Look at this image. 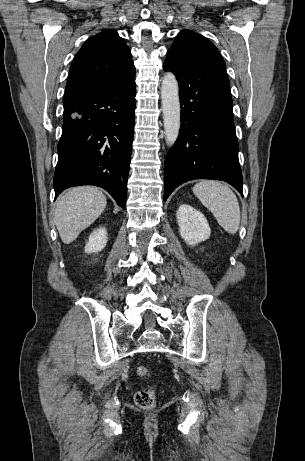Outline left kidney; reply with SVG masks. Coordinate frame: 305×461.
Returning <instances> with one entry per match:
<instances>
[{
  "label": "left kidney",
  "instance_id": "obj_1",
  "mask_svg": "<svg viewBox=\"0 0 305 461\" xmlns=\"http://www.w3.org/2000/svg\"><path fill=\"white\" fill-rule=\"evenodd\" d=\"M176 215L180 235L188 245H196L210 237L209 224L200 211L188 204H182Z\"/></svg>",
  "mask_w": 305,
  "mask_h": 461
}]
</instances>
